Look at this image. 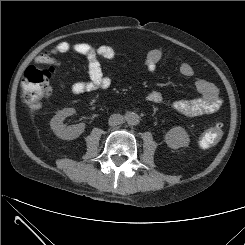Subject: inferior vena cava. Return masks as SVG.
Instances as JSON below:
<instances>
[{
  "label": "inferior vena cava",
  "instance_id": "1",
  "mask_svg": "<svg viewBox=\"0 0 245 245\" xmlns=\"http://www.w3.org/2000/svg\"><path fill=\"white\" fill-rule=\"evenodd\" d=\"M124 118L120 114H113L110 116L108 124L110 126H117L120 125L123 122Z\"/></svg>",
  "mask_w": 245,
  "mask_h": 245
}]
</instances>
